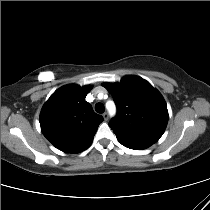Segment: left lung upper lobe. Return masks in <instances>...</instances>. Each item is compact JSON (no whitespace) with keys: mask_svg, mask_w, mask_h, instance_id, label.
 <instances>
[{"mask_svg":"<svg viewBox=\"0 0 210 210\" xmlns=\"http://www.w3.org/2000/svg\"><path fill=\"white\" fill-rule=\"evenodd\" d=\"M103 86L117 106V115L109 126L121 144L141 150L160 139L168 122L167 105L148 81L126 76L120 83H104Z\"/></svg>","mask_w":210,"mask_h":210,"instance_id":"left-lung-upper-lobe-1","label":"left lung upper lobe"}]
</instances>
